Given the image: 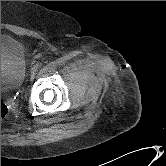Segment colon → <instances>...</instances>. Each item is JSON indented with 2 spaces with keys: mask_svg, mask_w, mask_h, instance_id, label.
Here are the masks:
<instances>
[{
  "mask_svg": "<svg viewBox=\"0 0 166 166\" xmlns=\"http://www.w3.org/2000/svg\"><path fill=\"white\" fill-rule=\"evenodd\" d=\"M8 114V108L5 103L1 102V120Z\"/></svg>",
  "mask_w": 166,
  "mask_h": 166,
  "instance_id": "colon-1",
  "label": "colon"
}]
</instances>
